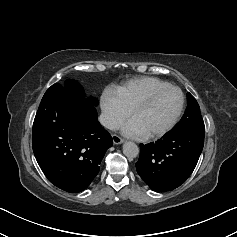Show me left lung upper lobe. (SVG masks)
Listing matches in <instances>:
<instances>
[{
    "instance_id": "1",
    "label": "left lung upper lobe",
    "mask_w": 237,
    "mask_h": 237,
    "mask_svg": "<svg viewBox=\"0 0 237 237\" xmlns=\"http://www.w3.org/2000/svg\"><path fill=\"white\" fill-rule=\"evenodd\" d=\"M187 103L188 106L181 121L171 130V132L193 129L205 130L204 121L200 113V107L196 99L190 93H187Z\"/></svg>"
}]
</instances>
